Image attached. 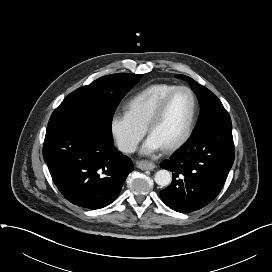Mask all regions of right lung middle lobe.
<instances>
[{
    "label": "right lung middle lobe",
    "mask_w": 272,
    "mask_h": 272,
    "mask_svg": "<svg viewBox=\"0 0 272 272\" xmlns=\"http://www.w3.org/2000/svg\"><path fill=\"white\" fill-rule=\"evenodd\" d=\"M141 76L129 73L107 75L70 93L52 113L46 134L71 126H88L113 139L111 123L114 112Z\"/></svg>",
    "instance_id": "obj_1"
}]
</instances>
